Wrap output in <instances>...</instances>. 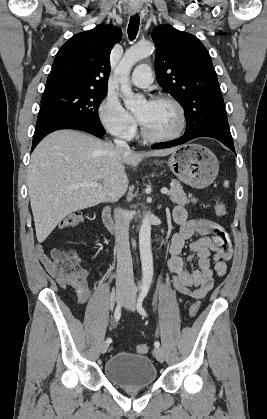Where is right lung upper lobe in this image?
Instances as JSON below:
<instances>
[{
  "label": "right lung upper lobe",
  "mask_w": 267,
  "mask_h": 419,
  "mask_svg": "<svg viewBox=\"0 0 267 419\" xmlns=\"http://www.w3.org/2000/svg\"><path fill=\"white\" fill-rule=\"evenodd\" d=\"M121 36V30L110 25H98L72 36L56 54L45 92L107 90L110 52Z\"/></svg>",
  "instance_id": "obj_1"
}]
</instances>
